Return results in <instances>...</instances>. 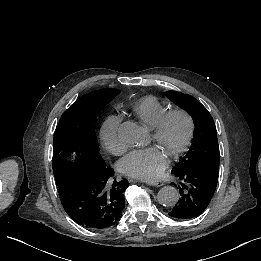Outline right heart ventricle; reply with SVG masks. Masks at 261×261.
<instances>
[{
    "label": "right heart ventricle",
    "instance_id": "e07e8e85",
    "mask_svg": "<svg viewBox=\"0 0 261 261\" xmlns=\"http://www.w3.org/2000/svg\"><path fill=\"white\" fill-rule=\"evenodd\" d=\"M127 108L135 118L146 126L153 124L168 110V106L164 102L151 95L142 96L129 102Z\"/></svg>",
    "mask_w": 261,
    "mask_h": 261
}]
</instances>
